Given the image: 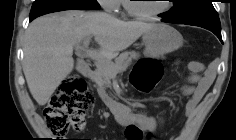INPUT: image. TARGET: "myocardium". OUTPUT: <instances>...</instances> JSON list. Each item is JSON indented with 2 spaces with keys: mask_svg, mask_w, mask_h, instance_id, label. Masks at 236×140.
<instances>
[{
  "mask_svg": "<svg viewBox=\"0 0 236 140\" xmlns=\"http://www.w3.org/2000/svg\"><path fill=\"white\" fill-rule=\"evenodd\" d=\"M131 1L132 0L125 1V8H126L127 12L135 18L144 19V20L158 17V16L166 13L167 11H169L172 7L170 0H168L166 3V6L163 9H161L159 11H155V12L144 13V12L137 10L134 7L133 2H131Z\"/></svg>",
  "mask_w": 236,
  "mask_h": 140,
  "instance_id": "obj_1",
  "label": "myocardium"
}]
</instances>
